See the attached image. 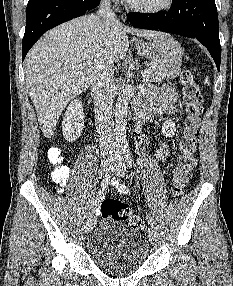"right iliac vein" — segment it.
<instances>
[{"label": "right iliac vein", "mask_w": 233, "mask_h": 286, "mask_svg": "<svg viewBox=\"0 0 233 286\" xmlns=\"http://www.w3.org/2000/svg\"><path fill=\"white\" fill-rule=\"evenodd\" d=\"M101 168H102V173L103 174H107L109 173V171L111 170L112 168V163H111V159L110 158H105L103 161H102V164H101ZM95 224V219L92 217L88 220L87 224H86V233H90L93 229V226Z\"/></svg>", "instance_id": "obj_1"}]
</instances>
